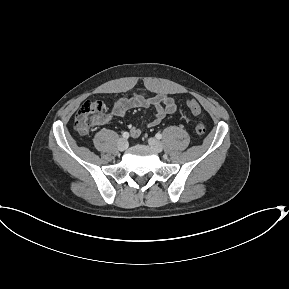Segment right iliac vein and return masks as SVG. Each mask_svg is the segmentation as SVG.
I'll return each instance as SVG.
<instances>
[{"label":"right iliac vein","instance_id":"63e3f726","mask_svg":"<svg viewBox=\"0 0 289 289\" xmlns=\"http://www.w3.org/2000/svg\"><path fill=\"white\" fill-rule=\"evenodd\" d=\"M128 148V142H127V140L126 139H120L119 141H118V150H120V151H124V150H126Z\"/></svg>","mask_w":289,"mask_h":289}]
</instances>
